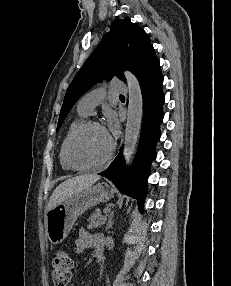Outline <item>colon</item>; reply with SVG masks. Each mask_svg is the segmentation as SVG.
<instances>
[{
	"instance_id": "colon-1",
	"label": "colon",
	"mask_w": 231,
	"mask_h": 286,
	"mask_svg": "<svg viewBox=\"0 0 231 286\" xmlns=\"http://www.w3.org/2000/svg\"><path fill=\"white\" fill-rule=\"evenodd\" d=\"M73 260L69 253L59 251L52 261V279L55 286H67L72 275Z\"/></svg>"
}]
</instances>
